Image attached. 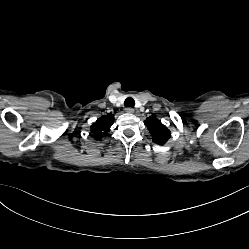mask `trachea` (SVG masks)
Here are the masks:
<instances>
[{
  "label": "trachea",
  "instance_id": "1",
  "mask_svg": "<svg viewBox=\"0 0 249 249\" xmlns=\"http://www.w3.org/2000/svg\"><path fill=\"white\" fill-rule=\"evenodd\" d=\"M134 105H135V101L133 98H131V97L126 98V100L124 102L125 107H134Z\"/></svg>",
  "mask_w": 249,
  "mask_h": 249
}]
</instances>
